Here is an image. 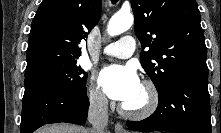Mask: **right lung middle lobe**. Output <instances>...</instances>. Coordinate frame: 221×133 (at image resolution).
I'll list each match as a JSON object with an SVG mask.
<instances>
[{
	"label": "right lung middle lobe",
	"mask_w": 221,
	"mask_h": 133,
	"mask_svg": "<svg viewBox=\"0 0 221 133\" xmlns=\"http://www.w3.org/2000/svg\"><path fill=\"white\" fill-rule=\"evenodd\" d=\"M29 76L49 79L74 91L83 90L87 79V74L77 65V62L48 66L33 72Z\"/></svg>",
	"instance_id": "1"
}]
</instances>
